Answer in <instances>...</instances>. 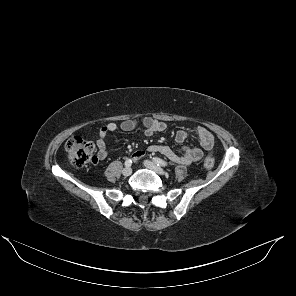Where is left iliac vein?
<instances>
[{"label":"left iliac vein","instance_id":"left-iliac-vein-1","mask_svg":"<svg viewBox=\"0 0 296 296\" xmlns=\"http://www.w3.org/2000/svg\"><path fill=\"white\" fill-rule=\"evenodd\" d=\"M143 164L146 168L153 170L159 175H166V172L161 167L157 166L156 164H154L149 160H145Z\"/></svg>","mask_w":296,"mask_h":296}]
</instances>
